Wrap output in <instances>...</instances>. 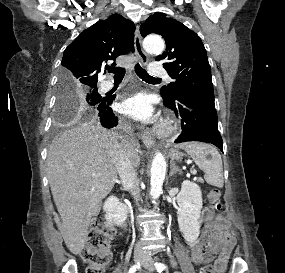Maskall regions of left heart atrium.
Listing matches in <instances>:
<instances>
[{
    "label": "left heart atrium",
    "mask_w": 285,
    "mask_h": 273,
    "mask_svg": "<svg viewBox=\"0 0 285 273\" xmlns=\"http://www.w3.org/2000/svg\"><path fill=\"white\" fill-rule=\"evenodd\" d=\"M122 112L139 120H146L152 114L148 100L140 95L126 100L121 106Z\"/></svg>",
    "instance_id": "obj_1"
}]
</instances>
